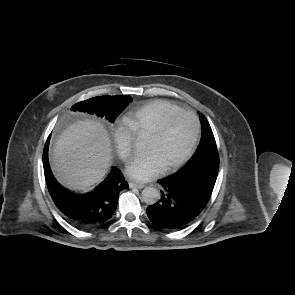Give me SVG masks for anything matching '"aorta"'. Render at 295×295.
Masks as SVG:
<instances>
[{
    "mask_svg": "<svg viewBox=\"0 0 295 295\" xmlns=\"http://www.w3.org/2000/svg\"><path fill=\"white\" fill-rule=\"evenodd\" d=\"M142 200L148 204V205H153L155 204L159 198H160V192L153 187H146L142 191Z\"/></svg>",
    "mask_w": 295,
    "mask_h": 295,
    "instance_id": "762f6f07",
    "label": "aorta"
}]
</instances>
